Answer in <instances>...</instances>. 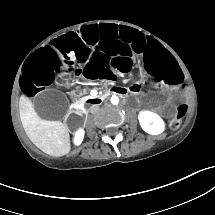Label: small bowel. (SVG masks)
Returning <instances> with one entry per match:
<instances>
[{"mask_svg":"<svg viewBox=\"0 0 215 215\" xmlns=\"http://www.w3.org/2000/svg\"><path fill=\"white\" fill-rule=\"evenodd\" d=\"M123 89H124L125 93H127V95H128V93H130V94H136V92H137V88L136 87H132V88H128V89L123 88Z\"/></svg>","mask_w":215,"mask_h":215,"instance_id":"c3829d8e","label":"small bowel"}]
</instances>
